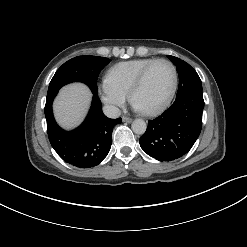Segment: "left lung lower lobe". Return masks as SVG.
<instances>
[{"label":"left lung lower lobe","mask_w":247,"mask_h":247,"mask_svg":"<svg viewBox=\"0 0 247 247\" xmlns=\"http://www.w3.org/2000/svg\"><path fill=\"white\" fill-rule=\"evenodd\" d=\"M203 108L202 90L177 95L170 108L148 122L139 140L143 151L161 162L186 154L201 132Z\"/></svg>","instance_id":"1"}]
</instances>
